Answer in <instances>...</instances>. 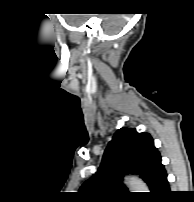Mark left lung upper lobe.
Here are the masks:
<instances>
[{"mask_svg": "<svg viewBox=\"0 0 194 202\" xmlns=\"http://www.w3.org/2000/svg\"><path fill=\"white\" fill-rule=\"evenodd\" d=\"M162 168L161 155L151 135L123 127L114 134L98 171L80 187L79 193L95 202L125 198L129 192L121 183L122 177L133 173L147 183L152 194Z\"/></svg>", "mask_w": 194, "mask_h": 202, "instance_id": "obj_1", "label": "left lung upper lobe"}]
</instances>
